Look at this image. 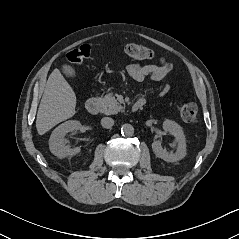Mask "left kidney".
<instances>
[{
    "mask_svg": "<svg viewBox=\"0 0 239 239\" xmlns=\"http://www.w3.org/2000/svg\"><path fill=\"white\" fill-rule=\"evenodd\" d=\"M163 129L174 136L177 144L176 152H167V150L162 147L161 141L157 140L152 143L154 154L166 162H177L183 159L186 156V139L181 126L175 121L165 120L163 122Z\"/></svg>",
    "mask_w": 239,
    "mask_h": 239,
    "instance_id": "left-kidney-1",
    "label": "left kidney"
}]
</instances>
